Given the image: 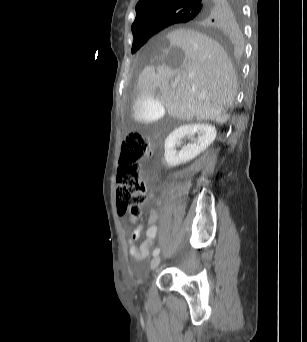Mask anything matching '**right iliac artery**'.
<instances>
[{
  "instance_id": "obj_1",
  "label": "right iliac artery",
  "mask_w": 307,
  "mask_h": 342,
  "mask_svg": "<svg viewBox=\"0 0 307 342\" xmlns=\"http://www.w3.org/2000/svg\"><path fill=\"white\" fill-rule=\"evenodd\" d=\"M160 252V249L159 248H156L154 251H153V256H157Z\"/></svg>"
}]
</instances>
